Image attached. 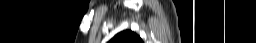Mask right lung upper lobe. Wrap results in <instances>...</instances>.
I'll list each match as a JSON object with an SVG mask.
<instances>
[{"label": "right lung upper lobe", "mask_w": 256, "mask_h": 43, "mask_svg": "<svg viewBox=\"0 0 256 43\" xmlns=\"http://www.w3.org/2000/svg\"><path fill=\"white\" fill-rule=\"evenodd\" d=\"M109 43H143V41L134 32L126 30L115 35Z\"/></svg>", "instance_id": "obj_1"}]
</instances>
